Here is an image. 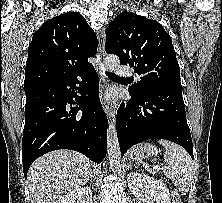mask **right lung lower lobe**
<instances>
[{"label": "right lung lower lobe", "instance_id": "1", "mask_svg": "<svg viewBox=\"0 0 222 203\" xmlns=\"http://www.w3.org/2000/svg\"><path fill=\"white\" fill-rule=\"evenodd\" d=\"M25 94L22 140L25 177L38 157L57 149L78 151L97 163L105 158L108 120L99 99V80L94 68L80 76L30 89Z\"/></svg>", "mask_w": 222, "mask_h": 203}]
</instances>
